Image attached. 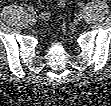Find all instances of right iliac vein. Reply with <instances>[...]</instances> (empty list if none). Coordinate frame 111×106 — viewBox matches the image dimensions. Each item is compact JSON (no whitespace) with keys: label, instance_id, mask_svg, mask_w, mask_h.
I'll return each mask as SVG.
<instances>
[{"label":"right iliac vein","instance_id":"1","mask_svg":"<svg viewBox=\"0 0 111 106\" xmlns=\"http://www.w3.org/2000/svg\"><path fill=\"white\" fill-rule=\"evenodd\" d=\"M28 22H29L30 25H34L36 23L35 17L33 15H30L28 17Z\"/></svg>","mask_w":111,"mask_h":106}]
</instances>
